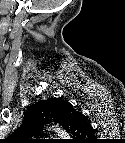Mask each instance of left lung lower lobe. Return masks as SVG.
Returning <instances> with one entry per match:
<instances>
[{"label": "left lung lower lobe", "instance_id": "obj_1", "mask_svg": "<svg viewBox=\"0 0 125 143\" xmlns=\"http://www.w3.org/2000/svg\"><path fill=\"white\" fill-rule=\"evenodd\" d=\"M85 119L84 115L76 111L70 103L65 106V124L71 126L74 122ZM76 124V123H75ZM93 134V131L92 133Z\"/></svg>", "mask_w": 125, "mask_h": 143}]
</instances>
